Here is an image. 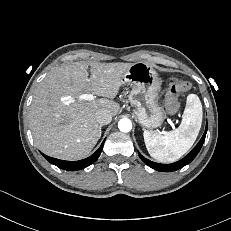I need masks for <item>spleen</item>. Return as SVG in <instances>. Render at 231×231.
<instances>
[{
	"instance_id": "obj_1",
	"label": "spleen",
	"mask_w": 231,
	"mask_h": 231,
	"mask_svg": "<svg viewBox=\"0 0 231 231\" xmlns=\"http://www.w3.org/2000/svg\"><path fill=\"white\" fill-rule=\"evenodd\" d=\"M202 113L199 97L196 94H189L181 124L177 129L164 135L145 130L143 137L150 156L163 163H172L181 158L198 136Z\"/></svg>"
}]
</instances>
